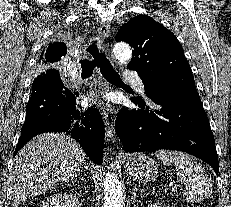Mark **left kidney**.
<instances>
[{
	"label": "left kidney",
	"mask_w": 231,
	"mask_h": 207,
	"mask_svg": "<svg viewBox=\"0 0 231 207\" xmlns=\"http://www.w3.org/2000/svg\"><path fill=\"white\" fill-rule=\"evenodd\" d=\"M150 207H167V206H164L163 204L160 203H154Z\"/></svg>",
	"instance_id": "obj_1"
}]
</instances>
